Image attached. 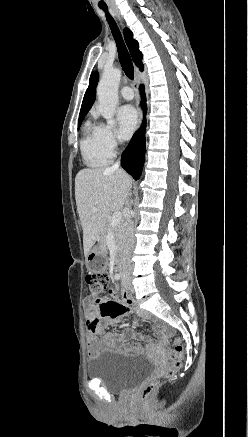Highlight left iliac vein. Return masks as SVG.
Returning <instances> with one entry per match:
<instances>
[{"mask_svg": "<svg viewBox=\"0 0 248 437\" xmlns=\"http://www.w3.org/2000/svg\"><path fill=\"white\" fill-rule=\"evenodd\" d=\"M123 284L127 290L133 291V286H132L130 279L128 277L123 278Z\"/></svg>", "mask_w": 248, "mask_h": 437, "instance_id": "obj_1", "label": "left iliac vein"}]
</instances>
